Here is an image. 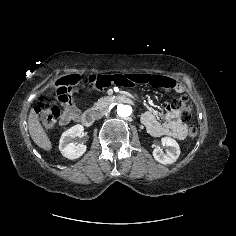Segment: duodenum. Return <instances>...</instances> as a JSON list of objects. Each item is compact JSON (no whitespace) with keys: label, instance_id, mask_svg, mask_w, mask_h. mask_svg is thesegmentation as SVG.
I'll return each mask as SVG.
<instances>
[{"label":"duodenum","instance_id":"obj_1","mask_svg":"<svg viewBox=\"0 0 236 236\" xmlns=\"http://www.w3.org/2000/svg\"><path fill=\"white\" fill-rule=\"evenodd\" d=\"M112 102L131 104L132 99L125 96V95H117L112 99ZM95 118H96V111L95 110L87 111L80 116V120H81L82 124L87 127L92 126L94 124Z\"/></svg>","mask_w":236,"mask_h":236}]
</instances>
